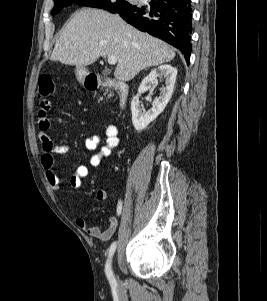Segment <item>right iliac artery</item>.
<instances>
[{"label": "right iliac artery", "mask_w": 267, "mask_h": 301, "mask_svg": "<svg viewBox=\"0 0 267 301\" xmlns=\"http://www.w3.org/2000/svg\"><path fill=\"white\" fill-rule=\"evenodd\" d=\"M121 210H122V204H121V202H118V207H117L118 214L121 213ZM116 246H117L116 241L112 242V244L109 248V255H108L106 265H105V273H106L107 279L109 280V283L111 285H114L116 283V280L114 278V275H113V272L111 269V258L116 250Z\"/></svg>", "instance_id": "obj_1"}]
</instances>
